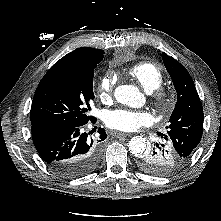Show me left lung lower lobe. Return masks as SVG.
Segmentation results:
<instances>
[{"instance_id": "0a47b994", "label": "left lung lower lobe", "mask_w": 221, "mask_h": 221, "mask_svg": "<svg viewBox=\"0 0 221 221\" xmlns=\"http://www.w3.org/2000/svg\"><path fill=\"white\" fill-rule=\"evenodd\" d=\"M159 143L138 160V167L145 173L156 176H169L181 170L188 162L175 150L166 134L157 133Z\"/></svg>"}]
</instances>
